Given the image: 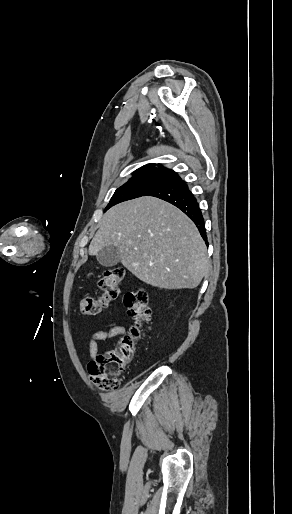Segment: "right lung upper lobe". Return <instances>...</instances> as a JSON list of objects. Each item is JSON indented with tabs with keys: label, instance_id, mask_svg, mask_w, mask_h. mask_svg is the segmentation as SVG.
Returning a JSON list of instances; mask_svg holds the SVG:
<instances>
[{
	"label": "right lung upper lobe",
	"instance_id": "cb5924a9",
	"mask_svg": "<svg viewBox=\"0 0 292 514\" xmlns=\"http://www.w3.org/2000/svg\"><path fill=\"white\" fill-rule=\"evenodd\" d=\"M156 164L150 163L147 165L142 166L141 168L137 169L134 174L137 173H149V172H164L168 173L170 175L175 174V172L171 169H167L163 167L161 164H157L158 168L155 167Z\"/></svg>",
	"mask_w": 292,
	"mask_h": 514
}]
</instances>
